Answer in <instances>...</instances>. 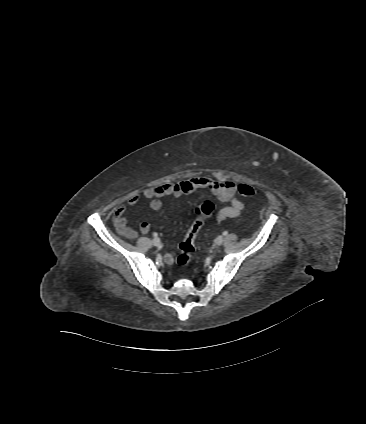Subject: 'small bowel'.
<instances>
[{
  "instance_id": "c3829d8e",
  "label": "small bowel",
  "mask_w": 366,
  "mask_h": 424,
  "mask_svg": "<svg viewBox=\"0 0 366 424\" xmlns=\"http://www.w3.org/2000/svg\"><path fill=\"white\" fill-rule=\"evenodd\" d=\"M198 189H205L220 201L229 202L230 205L222 207L217 213V221L223 222L239 216L245 205L237 198V185L230 180H219L204 176L189 177L177 182L166 183L159 186L148 187L140 194H131L127 197L115 212L113 222L117 232L127 239H136L137 231L131 227L125 218L129 207L135 206L141 198L149 200V206L152 211H158L162 207V199L166 196L181 197L190 194ZM139 230L146 234L150 230L147 222L140 224ZM167 264L174 261V254L169 253L164 257Z\"/></svg>"
}]
</instances>
